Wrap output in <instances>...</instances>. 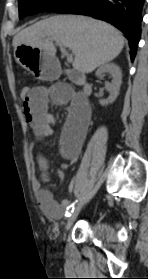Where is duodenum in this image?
Returning a JSON list of instances; mask_svg holds the SVG:
<instances>
[{
	"instance_id": "obj_1",
	"label": "duodenum",
	"mask_w": 148,
	"mask_h": 279,
	"mask_svg": "<svg viewBox=\"0 0 148 279\" xmlns=\"http://www.w3.org/2000/svg\"><path fill=\"white\" fill-rule=\"evenodd\" d=\"M64 75L68 76L69 80L79 83L82 86L83 92L88 94L90 92V86L86 82L84 76L74 70L66 69Z\"/></svg>"
}]
</instances>
